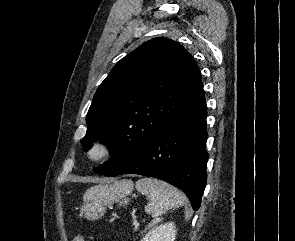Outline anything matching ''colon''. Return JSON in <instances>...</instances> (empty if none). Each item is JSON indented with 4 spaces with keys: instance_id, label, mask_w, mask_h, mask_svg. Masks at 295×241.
I'll list each match as a JSON object with an SVG mask.
<instances>
[{
    "instance_id": "colon-1",
    "label": "colon",
    "mask_w": 295,
    "mask_h": 241,
    "mask_svg": "<svg viewBox=\"0 0 295 241\" xmlns=\"http://www.w3.org/2000/svg\"><path fill=\"white\" fill-rule=\"evenodd\" d=\"M73 241H85L82 237H75Z\"/></svg>"
}]
</instances>
